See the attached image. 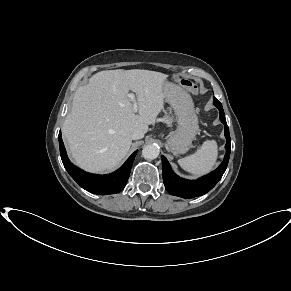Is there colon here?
Segmentation results:
<instances>
[{"label":"colon","mask_w":291,"mask_h":291,"mask_svg":"<svg viewBox=\"0 0 291 291\" xmlns=\"http://www.w3.org/2000/svg\"><path fill=\"white\" fill-rule=\"evenodd\" d=\"M181 84L184 86H192V81L190 79H182Z\"/></svg>","instance_id":"5ec220e1"}]
</instances>
